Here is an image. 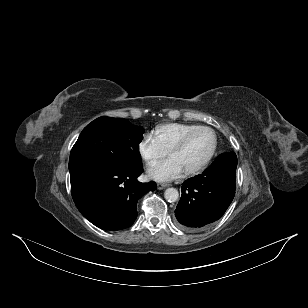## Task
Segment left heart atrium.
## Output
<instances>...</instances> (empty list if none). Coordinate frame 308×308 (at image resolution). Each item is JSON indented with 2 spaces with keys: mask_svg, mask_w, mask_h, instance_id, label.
Instances as JSON below:
<instances>
[{
  "mask_svg": "<svg viewBox=\"0 0 308 308\" xmlns=\"http://www.w3.org/2000/svg\"><path fill=\"white\" fill-rule=\"evenodd\" d=\"M184 172L183 167L175 158H168L160 164L150 168L148 175L150 178L165 182L179 177Z\"/></svg>",
  "mask_w": 308,
  "mask_h": 308,
  "instance_id": "obj_1",
  "label": "left heart atrium"
}]
</instances>
